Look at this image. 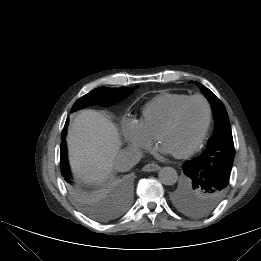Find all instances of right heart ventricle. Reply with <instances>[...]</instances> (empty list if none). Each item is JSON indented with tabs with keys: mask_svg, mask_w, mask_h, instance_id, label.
<instances>
[{
	"mask_svg": "<svg viewBox=\"0 0 261 261\" xmlns=\"http://www.w3.org/2000/svg\"><path fill=\"white\" fill-rule=\"evenodd\" d=\"M189 95L182 93H162L146 103L142 110L138 123L142 130L153 138L161 126L169 118L176 106Z\"/></svg>",
	"mask_w": 261,
	"mask_h": 261,
	"instance_id": "1",
	"label": "right heart ventricle"
}]
</instances>
